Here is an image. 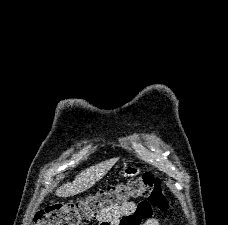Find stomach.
<instances>
[{
	"label": "stomach",
	"instance_id": "obj_1",
	"mask_svg": "<svg viewBox=\"0 0 228 225\" xmlns=\"http://www.w3.org/2000/svg\"><path fill=\"white\" fill-rule=\"evenodd\" d=\"M139 173L140 169H138V167H134V165H125L120 175L121 177H136V175H139Z\"/></svg>",
	"mask_w": 228,
	"mask_h": 225
}]
</instances>
